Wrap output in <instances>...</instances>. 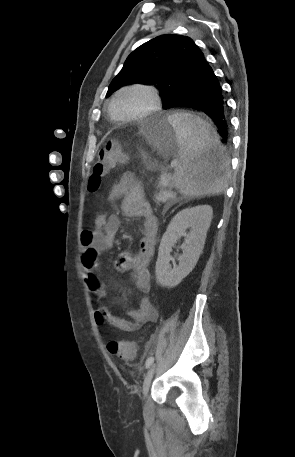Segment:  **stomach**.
I'll return each mask as SVG.
<instances>
[{
  "label": "stomach",
  "instance_id": "1",
  "mask_svg": "<svg viewBox=\"0 0 295 457\" xmlns=\"http://www.w3.org/2000/svg\"><path fill=\"white\" fill-rule=\"evenodd\" d=\"M140 132L146 142L157 149L178 145L176 130L166 116L148 119Z\"/></svg>",
  "mask_w": 295,
  "mask_h": 457
}]
</instances>
